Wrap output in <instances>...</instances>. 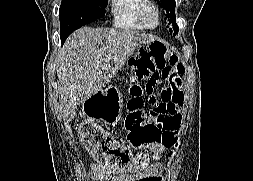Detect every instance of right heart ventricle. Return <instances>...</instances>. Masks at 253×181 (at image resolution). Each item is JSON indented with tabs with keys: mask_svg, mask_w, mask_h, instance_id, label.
<instances>
[{
	"mask_svg": "<svg viewBox=\"0 0 253 181\" xmlns=\"http://www.w3.org/2000/svg\"><path fill=\"white\" fill-rule=\"evenodd\" d=\"M142 0H109L112 23L119 29L140 32L145 28L139 21L138 9Z\"/></svg>",
	"mask_w": 253,
	"mask_h": 181,
	"instance_id": "1",
	"label": "right heart ventricle"
}]
</instances>
